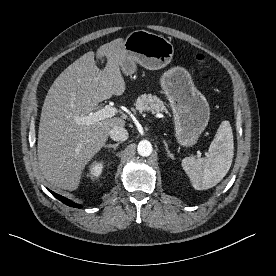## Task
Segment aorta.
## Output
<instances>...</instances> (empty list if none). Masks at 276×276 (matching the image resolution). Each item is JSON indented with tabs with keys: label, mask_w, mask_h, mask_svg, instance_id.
I'll use <instances>...</instances> for the list:
<instances>
[{
	"label": "aorta",
	"mask_w": 276,
	"mask_h": 276,
	"mask_svg": "<svg viewBox=\"0 0 276 276\" xmlns=\"http://www.w3.org/2000/svg\"><path fill=\"white\" fill-rule=\"evenodd\" d=\"M137 151L140 156L148 157L152 153V144L147 140L140 141Z\"/></svg>",
	"instance_id": "obj_1"
}]
</instances>
